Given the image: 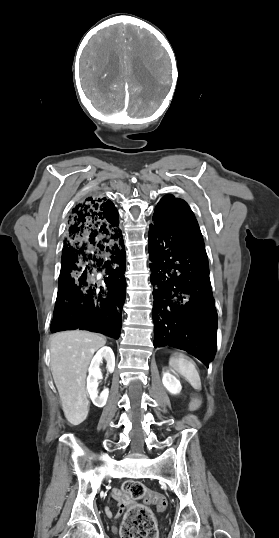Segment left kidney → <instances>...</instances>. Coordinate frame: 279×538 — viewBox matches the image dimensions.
Here are the masks:
<instances>
[{"label": "left kidney", "instance_id": "left-kidney-1", "mask_svg": "<svg viewBox=\"0 0 279 538\" xmlns=\"http://www.w3.org/2000/svg\"><path fill=\"white\" fill-rule=\"evenodd\" d=\"M162 384L170 394H180L182 390L179 380L172 376L170 372H163Z\"/></svg>", "mask_w": 279, "mask_h": 538}]
</instances>
